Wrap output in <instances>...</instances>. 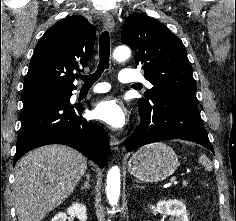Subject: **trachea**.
Segmentation results:
<instances>
[{
	"instance_id": "trachea-1",
	"label": "trachea",
	"mask_w": 236,
	"mask_h": 221,
	"mask_svg": "<svg viewBox=\"0 0 236 221\" xmlns=\"http://www.w3.org/2000/svg\"><path fill=\"white\" fill-rule=\"evenodd\" d=\"M99 65L95 73L91 75H80V79L84 82V86H92L94 82L101 76L105 69L109 68L110 57V37L107 31L101 33L99 38Z\"/></svg>"
}]
</instances>
